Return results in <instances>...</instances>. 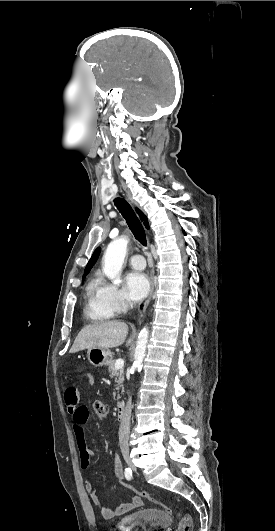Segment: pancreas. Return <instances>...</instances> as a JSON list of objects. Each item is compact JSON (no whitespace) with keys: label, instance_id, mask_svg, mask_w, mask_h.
Returning <instances> with one entry per match:
<instances>
[{"label":"pancreas","instance_id":"obj_1","mask_svg":"<svg viewBox=\"0 0 275 531\" xmlns=\"http://www.w3.org/2000/svg\"><path fill=\"white\" fill-rule=\"evenodd\" d=\"M108 373H111L110 377H115V383H117V385H115L113 399L114 401H118V399H120V395H117L116 397V393H119V389H123V383L125 381L124 369H118V371H116L115 359H113V361H110L108 365Z\"/></svg>","mask_w":275,"mask_h":531}]
</instances>
